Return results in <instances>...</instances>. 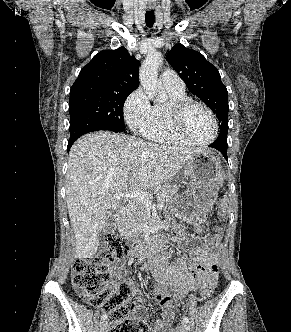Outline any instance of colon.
Instances as JSON below:
<instances>
[{"label": "colon", "instance_id": "5ec220e1", "mask_svg": "<svg viewBox=\"0 0 291 332\" xmlns=\"http://www.w3.org/2000/svg\"><path fill=\"white\" fill-rule=\"evenodd\" d=\"M127 239L117 233L105 237V247L89 259L75 262L72 286L77 293L92 305H102L108 313L110 332H148L147 327L130 317L135 304L131 301L132 287L127 283L117 288L112 286L109 266L128 255ZM213 279L201 290V299H208L216 287Z\"/></svg>", "mask_w": 291, "mask_h": 332}]
</instances>
